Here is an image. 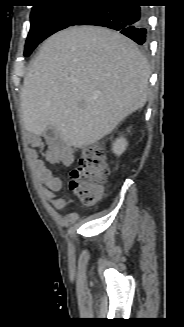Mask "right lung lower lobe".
<instances>
[{
    "label": "right lung lower lobe",
    "mask_w": 184,
    "mask_h": 327,
    "mask_svg": "<svg viewBox=\"0 0 184 327\" xmlns=\"http://www.w3.org/2000/svg\"><path fill=\"white\" fill-rule=\"evenodd\" d=\"M138 0H94L74 25H95L114 29L139 45L147 41V18Z\"/></svg>",
    "instance_id": "1"
}]
</instances>
